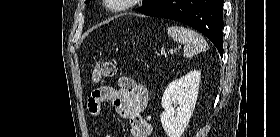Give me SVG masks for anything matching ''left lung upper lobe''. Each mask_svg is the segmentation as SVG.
I'll use <instances>...</instances> for the list:
<instances>
[{"instance_id": "5c2ea615", "label": "left lung upper lobe", "mask_w": 280, "mask_h": 137, "mask_svg": "<svg viewBox=\"0 0 280 137\" xmlns=\"http://www.w3.org/2000/svg\"><path fill=\"white\" fill-rule=\"evenodd\" d=\"M90 0H86V3H88ZM162 0H143L144 5L138 9H136L137 11L141 12V13H145L149 10H151L152 8H154L157 4H159Z\"/></svg>"}]
</instances>
